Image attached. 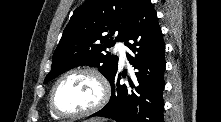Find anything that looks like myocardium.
I'll list each match as a JSON object with an SVG mask.
<instances>
[{
  "label": "myocardium",
  "instance_id": "myocardium-1",
  "mask_svg": "<svg viewBox=\"0 0 221 122\" xmlns=\"http://www.w3.org/2000/svg\"><path fill=\"white\" fill-rule=\"evenodd\" d=\"M76 74H87L95 78L100 86L101 94L99 100L90 108L83 110L81 112H76V113H66L61 111L55 103V93L58 88V86L68 77ZM110 97V86L105 78V76L98 71L97 69L91 68V67H79V68H74L71 69L64 74H62L57 81L54 83L52 86L51 92H50V97H49V105L50 109L52 112L57 115L58 117L62 118H80V117H85L89 116L93 113H96L100 109H102L106 103L108 102Z\"/></svg>",
  "mask_w": 221,
  "mask_h": 122
}]
</instances>
